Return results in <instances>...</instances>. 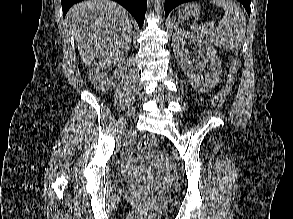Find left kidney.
I'll list each match as a JSON object with an SVG mask.
<instances>
[{"instance_id":"left-kidney-1","label":"left kidney","mask_w":293,"mask_h":219,"mask_svg":"<svg viewBox=\"0 0 293 219\" xmlns=\"http://www.w3.org/2000/svg\"><path fill=\"white\" fill-rule=\"evenodd\" d=\"M185 39L196 44L200 49V53L207 57L205 61L210 62L209 71L205 76L201 72L198 73L193 67L190 57L184 48ZM172 41L175 57L179 61L182 70L187 74L192 87L199 93H207L213 89L222 75L221 60L214 47L207 41H203L200 37H196L181 28L175 30ZM204 68L205 65L203 64L200 70L203 71Z\"/></svg>"}]
</instances>
